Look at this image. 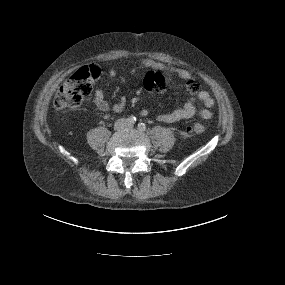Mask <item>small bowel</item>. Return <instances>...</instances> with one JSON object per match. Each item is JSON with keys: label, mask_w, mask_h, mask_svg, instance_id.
I'll return each instance as SVG.
<instances>
[{"label": "small bowel", "mask_w": 285, "mask_h": 285, "mask_svg": "<svg viewBox=\"0 0 285 285\" xmlns=\"http://www.w3.org/2000/svg\"><path fill=\"white\" fill-rule=\"evenodd\" d=\"M140 65L148 68L144 78L145 89L151 94H162L164 92V78L163 73L175 74L186 82L187 90L190 93V97L184 102V104L173 111L164 112L157 115V119L164 123H175L193 117H198L203 120H208L212 117L211 108L214 106L215 101L208 91L201 90L194 76L187 70L164 65L155 62L152 59H142ZM109 76L115 77L116 71L114 69L109 70ZM93 103L95 106L103 112H120L124 108V100L110 104L106 99L102 90L95 89L93 96ZM202 104L203 108L196 109V104ZM146 111H143V115H146Z\"/></svg>", "instance_id": "obj_1"}]
</instances>
